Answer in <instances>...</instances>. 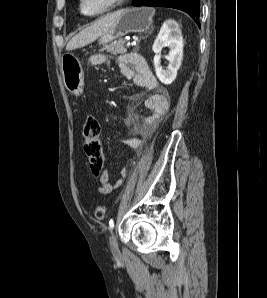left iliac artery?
I'll use <instances>...</instances> for the list:
<instances>
[{
	"instance_id": "obj_1",
	"label": "left iliac artery",
	"mask_w": 267,
	"mask_h": 298,
	"mask_svg": "<svg viewBox=\"0 0 267 298\" xmlns=\"http://www.w3.org/2000/svg\"><path fill=\"white\" fill-rule=\"evenodd\" d=\"M113 227H114V219H111V220L109 221V230H112Z\"/></svg>"
}]
</instances>
